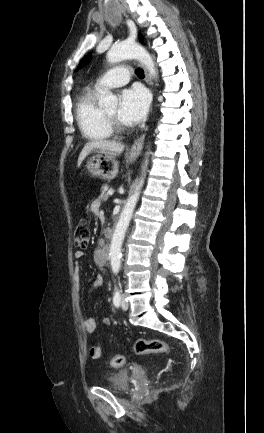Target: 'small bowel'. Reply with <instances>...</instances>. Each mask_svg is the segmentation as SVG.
I'll list each match as a JSON object with an SVG mask.
<instances>
[{
	"instance_id": "obj_1",
	"label": "small bowel",
	"mask_w": 264,
	"mask_h": 433,
	"mask_svg": "<svg viewBox=\"0 0 264 433\" xmlns=\"http://www.w3.org/2000/svg\"><path fill=\"white\" fill-rule=\"evenodd\" d=\"M100 207H101V202L99 200H94L90 204V210L94 214H99ZM83 257H84L83 251H77L75 253V259L77 260V262H76L75 268H74V276H75V279L77 282L78 289H79V283H80V278H81V267H80L78 261L81 260ZM103 281H104L103 276L97 275L94 278V280L91 282V284L89 286V291L100 286L103 283ZM102 322L106 325H110L111 319L109 317H104L102 319ZM83 327L88 334H93L97 328V324H96L95 319L91 316L85 317L83 320ZM89 356L92 360H99L102 356L101 347L100 346H92L89 349Z\"/></svg>"
}]
</instances>
